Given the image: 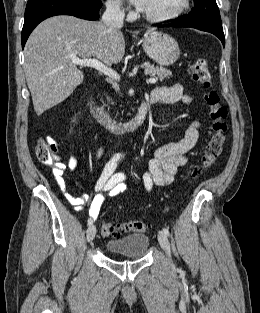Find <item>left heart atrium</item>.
<instances>
[{
    "mask_svg": "<svg viewBox=\"0 0 260 313\" xmlns=\"http://www.w3.org/2000/svg\"><path fill=\"white\" fill-rule=\"evenodd\" d=\"M145 1L146 0H131V2L139 9H143Z\"/></svg>",
    "mask_w": 260,
    "mask_h": 313,
    "instance_id": "obj_1",
    "label": "left heart atrium"
}]
</instances>
